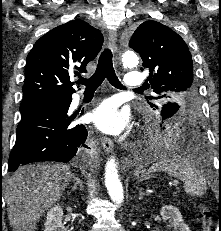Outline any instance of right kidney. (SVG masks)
Instances as JSON below:
<instances>
[{
    "label": "right kidney",
    "instance_id": "1",
    "mask_svg": "<svg viewBox=\"0 0 221 231\" xmlns=\"http://www.w3.org/2000/svg\"><path fill=\"white\" fill-rule=\"evenodd\" d=\"M63 209L60 205H55L47 213L44 231H69L62 223Z\"/></svg>",
    "mask_w": 221,
    "mask_h": 231
}]
</instances>
